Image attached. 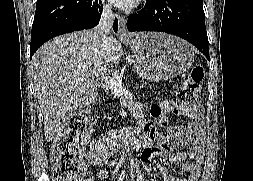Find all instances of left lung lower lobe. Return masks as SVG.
<instances>
[{
	"label": "left lung lower lobe",
	"mask_w": 253,
	"mask_h": 181,
	"mask_svg": "<svg viewBox=\"0 0 253 181\" xmlns=\"http://www.w3.org/2000/svg\"><path fill=\"white\" fill-rule=\"evenodd\" d=\"M127 28L179 36L210 60L203 0H147L142 10L128 17Z\"/></svg>",
	"instance_id": "obj_1"
}]
</instances>
